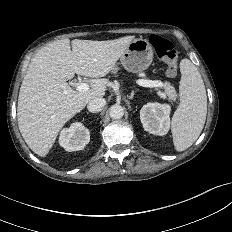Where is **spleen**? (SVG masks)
Here are the masks:
<instances>
[{
    "label": "spleen",
    "instance_id": "spleen-1",
    "mask_svg": "<svg viewBox=\"0 0 232 232\" xmlns=\"http://www.w3.org/2000/svg\"><path fill=\"white\" fill-rule=\"evenodd\" d=\"M180 71V103L172 117L171 131L175 149L184 151L197 140L204 127L207 96L202 77L189 59L181 60Z\"/></svg>",
    "mask_w": 232,
    "mask_h": 232
}]
</instances>
